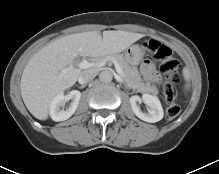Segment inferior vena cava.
Masks as SVG:
<instances>
[{"label": "inferior vena cava", "instance_id": "inferior-vena-cava-1", "mask_svg": "<svg viewBox=\"0 0 219 174\" xmlns=\"http://www.w3.org/2000/svg\"><path fill=\"white\" fill-rule=\"evenodd\" d=\"M96 76V71L93 70V69H89V70H85V71H82L79 78H78V81L80 84H85L91 80H93Z\"/></svg>", "mask_w": 219, "mask_h": 174}]
</instances>
